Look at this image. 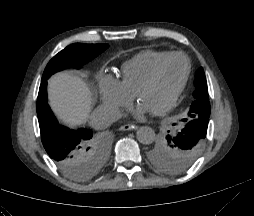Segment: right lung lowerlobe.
Listing matches in <instances>:
<instances>
[{"label":"right lung lower lobe","mask_w":254,"mask_h":216,"mask_svg":"<svg viewBox=\"0 0 254 216\" xmlns=\"http://www.w3.org/2000/svg\"><path fill=\"white\" fill-rule=\"evenodd\" d=\"M37 116L43 146L60 169L68 168L78 162L85 175L94 172L91 150L95 138L89 129L70 130L61 126L47 103V80L40 84L37 98Z\"/></svg>","instance_id":"1"}]
</instances>
